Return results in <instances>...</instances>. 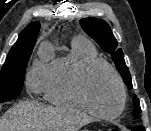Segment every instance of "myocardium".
Listing matches in <instances>:
<instances>
[{
	"mask_svg": "<svg viewBox=\"0 0 151 131\" xmlns=\"http://www.w3.org/2000/svg\"><path fill=\"white\" fill-rule=\"evenodd\" d=\"M104 67L106 68L115 78L116 83L120 92V105L118 109L112 114H104L97 111L90 103L87 94H86V81L89 75L97 68ZM71 93L74 99L77 101L79 106H81L88 113L93 115L96 118L102 120H113L118 118L125 110L127 103V91L125 84L122 80V77L118 73V71L107 61L103 59H93L86 63L78 74L74 77L71 83Z\"/></svg>",
	"mask_w": 151,
	"mask_h": 131,
	"instance_id": "f54148a6",
	"label": "myocardium"
}]
</instances>
